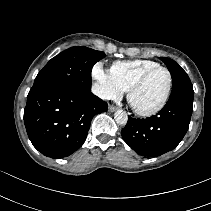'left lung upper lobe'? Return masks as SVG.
<instances>
[{"instance_id":"5c2ea615","label":"left lung upper lobe","mask_w":211,"mask_h":211,"mask_svg":"<svg viewBox=\"0 0 211 211\" xmlns=\"http://www.w3.org/2000/svg\"><path fill=\"white\" fill-rule=\"evenodd\" d=\"M160 59L166 64L173 80L172 91L169 98H194L193 86L187 73L174 60L166 57H160Z\"/></svg>"}]
</instances>
